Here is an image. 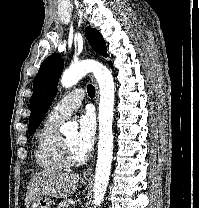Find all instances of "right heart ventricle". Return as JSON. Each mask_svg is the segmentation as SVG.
<instances>
[{
	"label": "right heart ventricle",
	"instance_id": "1",
	"mask_svg": "<svg viewBox=\"0 0 199 208\" xmlns=\"http://www.w3.org/2000/svg\"><path fill=\"white\" fill-rule=\"evenodd\" d=\"M61 122L49 116L37 135L35 159L46 172H60L68 167L63 157V138L58 130Z\"/></svg>",
	"mask_w": 199,
	"mask_h": 208
}]
</instances>
